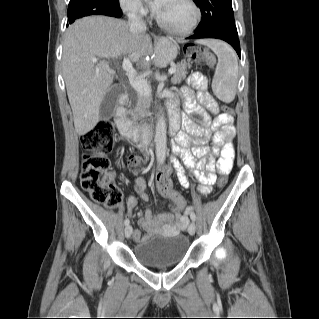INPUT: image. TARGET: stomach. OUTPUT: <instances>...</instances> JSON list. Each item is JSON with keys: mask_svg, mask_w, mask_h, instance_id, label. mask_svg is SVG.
<instances>
[{"mask_svg": "<svg viewBox=\"0 0 319 319\" xmlns=\"http://www.w3.org/2000/svg\"><path fill=\"white\" fill-rule=\"evenodd\" d=\"M157 61L164 66L171 62L177 56L178 50L174 42L169 39L162 38L156 45Z\"/></svg>", "mask_w": 319, "mask_h": 319, "instance_id": "1", "label": "stomach"}]
</instances>
